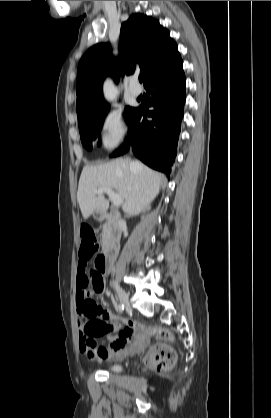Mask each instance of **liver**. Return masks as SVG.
Returning a JSON list of instances; mask_svg holds the SVG:
<instances>
[{
  "label": "liver",
  "mask_w": 271,
  "mask_h": 418,
  "mask_svg": "<svg viewBox=\"0 0 271 418\" xmlns=\"http://www.w3.org/2000/svg\"><path fill=\"white\" fill-rule=\"evenodd\" d=\"M163 175L138 161L116 159L98 166H85L82 170L77 201L82 216L87 219L94 212L105 213L109 201L95 193L101 187L113 189L122 200V209L130 216L139 215L149 208L159 193Z\"/></svg>",
  "instance_id": "liver-1"
}]
</instances>
